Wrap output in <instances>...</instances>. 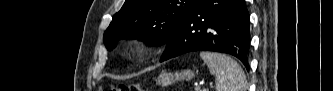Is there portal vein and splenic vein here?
I'll use <instances>...</instances> for the list:
<instances>
[{
    "label": "portal vein and splenic vein",
    "mask_w": 333,
    "mask_h": 91,
    "mask_svg": "<svg viewBox=\"0 0 333 91\" xmlns=\"http://www.w3.org/2000/svg\"><path fill=\"white\" fill-rule=\"evenodd\" d=\"M200 89V85H197L196 87H195V90H199Z\"/></svg>",
    "instance_id": "18ae733b"
}]
</instances>
